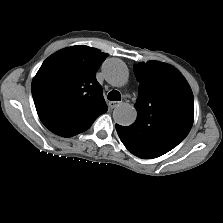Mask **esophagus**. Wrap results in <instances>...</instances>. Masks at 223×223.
Segmentation results:
<instances>
[{"mask_svg": "<svg viewBox=\"0 0 223 223\" xmlns=\"http://www.w3.org/2000/svg\"><path fill=\"white\" fill-rule=\"evenodd\" d=\"M121 104V102H119V101H111L110 103H109V107L111 108V109H113V108H115L116 106H118V105H120Z\"/></svg>", "mask_w": 223, "mask_h": 223, "instance_id": "34e87169", "label": "esophagus"}]
</instances>
